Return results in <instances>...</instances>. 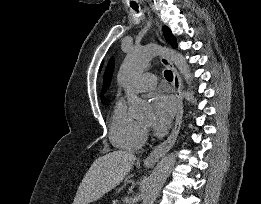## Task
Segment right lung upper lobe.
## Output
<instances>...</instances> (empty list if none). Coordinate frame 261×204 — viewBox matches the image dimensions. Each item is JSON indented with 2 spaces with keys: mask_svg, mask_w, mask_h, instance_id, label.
Returning a JSON list of instances; mask_svg holds the SVG:
<instances>
[{
  "mask_svg": "<svg viewBox=\"0 0 261 204\" xmlns=\"http://www.w3.org/2000/svg\"><path fill=\"white\" fill-rule=\"evenodd\" d=\"M113 70H114V59L111 58L108 66H107L105 75H104V83H103V89L101 92V96L107 91V89L110 86L112 75H113Z\"/></svg>",
  "mask_w": 261,
  "mask_h": 204,
  "instance_id": "1",
  "label": "right lung upper lobe"
}]
</instances>
